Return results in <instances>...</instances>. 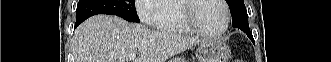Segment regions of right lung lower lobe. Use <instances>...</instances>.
<instances>
[{
    "label": "right lung lower lobe",
    "mask_w": 331,
    "mask_h": 62,
    "mask_svg": "<svg viewBox=\"0 0 331 62\" xmlns=\"http://www.w3.org/2000/svg\"><path fill=\"white\" fill-rule=\"evenodd\" d=\"M78 25H79V24L76 23V24H75V27H77Z\"/></svg>",
    "instance_id": "right-lung-lower-lobe-1"
}]
</instances>
